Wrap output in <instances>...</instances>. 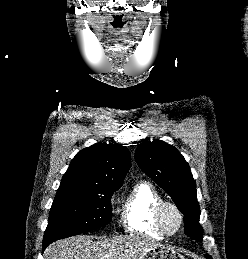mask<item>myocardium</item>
<instances>
[{
    "label": "myocardium",
    "mask_w": 248,
    "mask_h": 259,
    "mask_svg": "<svg viewBox=\"0 0 248 259\" xmlns=\"http://www.w3.org/2000/svg\"><path fill=\"white\" fill-rule=\"evenodd\" d=\"M167 208L173 209L178 218H179V224L178 227L175 231H169L165 225L164 222V212ZM154 220L155 223L158 227V229L165 235V236H174L178 234L181 229L183 228L184 225V215L180 207L172 202V201H167V200H162L156 207L155 212H154Z\"/></svg>",
    "instance_id": "obj_1"
}]
</instances>
